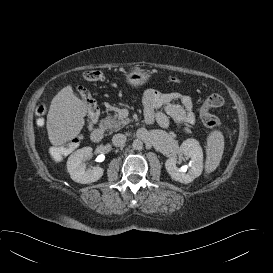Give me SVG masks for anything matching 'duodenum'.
Here are the masks:
<instances>
[{
    "mask_svg": "<svg viewBox=\"0 0 273 273\" xmlns=\"http://www.w3.org/2000/svg\"><path fill=\"white\" fill-rule=\"evenodd\" d=\"M105 133V125L100 123L91 133V139L93 142H101Z\"/></svg>",
    "mask_w": 273,
    "mask_h": 273,
    "instance_id": "410a0bca",
    "label": "duodenum"
}]
</instances>
